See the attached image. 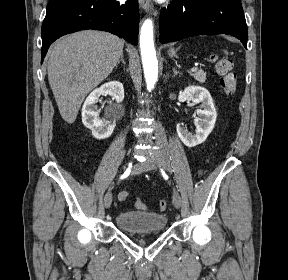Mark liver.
I'll return each instance as SVG.
<instances>
[{"instance_id":"6515ba94","label":"liver","mask_w":288,"mask_h":280,"mask_svg":"<svg viewBox=\"0 0 288 280\" xmlns=\"http://www.w3.org/2000/svg\"><path fill=\"white\" fill-rule=\"evenodd\" d=\"M124 41L102 31L67 35L49 51L48 80L61 117L76 120L87 94L106 79L123 54Z\"/></svg>"}]
</instances>
